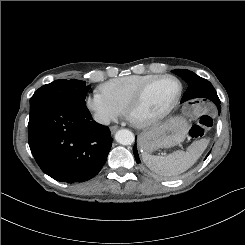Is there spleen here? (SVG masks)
Returning a JSON list of instances; mask_svg holds the SVG:
<instances>
[{"instance_id": "1", "label": "spleen", "mask_w": 245, "mask_h": 245, "mask_svg": "<svg viewBox=\"0 0 245 245\" xmlns=\"http://www.w3.org/2000/svg\"><path fill=\"white\" fill-rule=\"evenodd\" d=\"M206 147L207 140L202 139L193 142L186 152L178 150L166 156L144 153L142 159L152 172L166 179H175L196 163Z\"/></svg>"}]
</instances>
